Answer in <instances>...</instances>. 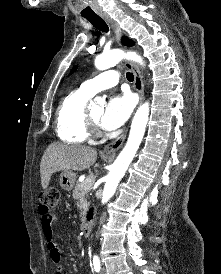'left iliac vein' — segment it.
Listing matches in <instances>:
<instances>
[{"mask_svg": "<svg viewBox=\"0 0 221 274\" xmlns=\"http://www.w3.org/2000/svg\"><path fill=\"white\" fill-rule=\"evenodd\" d=\"M100 274H106V269L102 268Z\"/></svg>", "mask_w": 221, "mask_h": 274, "instance_id": "4c4485c4", "label": "left iliac vein"}]
</instances>
